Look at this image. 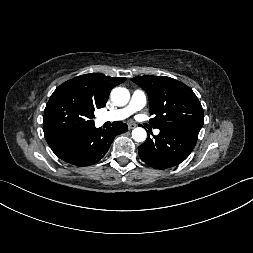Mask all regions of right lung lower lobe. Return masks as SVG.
Segmentation results:
<instances>
[{
	"mask_svg": "<svg viewBox=\"0 0 253 253\" xmlns=\"http://www.w3.org/2000/svg\"><path fill=\"white\" fill-rule=\"evenodd\" d=\"M127 125L114 122L102 130L94 125L67 129L45 135L52 151L63 161L76 166H89L100 161L110 148L115 136L126 132Z\"/></svg>",
	"mask_w": 253,
	"mask_h": 253,
	"instance_id": "1",
	"label": "right lung lower lobe"
}]
</instances>
